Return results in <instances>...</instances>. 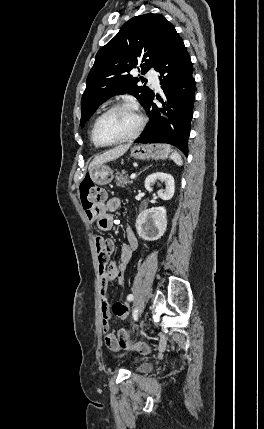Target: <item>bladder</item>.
<instances>
[{"label":"bladder","instance_id":"1","mask_svg":"<svg viewBox=\"0 0 264 429\" xmlns=\"http://www.w3.org/2000/svg\"><path fill=\"white\" fill-rule=\"evenodd\" d=\"M153 370V365L151 363H141L136 367V371L139 373H149Z\"/></svg>","mask_w":264,"mask_h":429}]
</instances>
